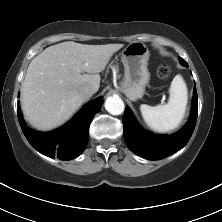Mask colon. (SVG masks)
I'll list each match as a JSON object with an SVG mask.
<instances>
[{
	"instance_id": "5ec220e1",
	"label": "colon",
	"mask_w": 222,
	"mask_h": 222,
	"mask_svg": "<svg viewBox=\"0 0 222 222\" xmlns=\"http://www.w3.org/2000/svg\"><path fill=\"white\" fill-rule=\"evenodd\" d=\"M171 74V68L168 65H161L158 69V75L161 79H168Z\"/></svg>"
}]
</instances>
